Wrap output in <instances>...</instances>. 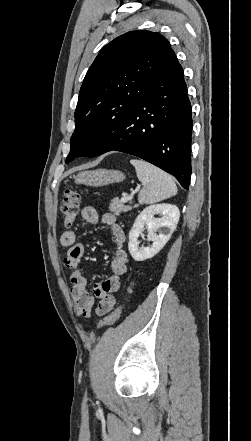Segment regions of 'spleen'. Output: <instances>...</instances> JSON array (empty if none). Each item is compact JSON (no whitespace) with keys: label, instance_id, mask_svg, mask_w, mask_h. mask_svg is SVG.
I'll return each mask as SVG.
<instances>
[{"label":"spleen","instance_id":"3e777b00","mask_svg":"<svg viewBox=\"0 0 251 441\" xmlns=\"http://www.w3.org/2000/svg\"><path fill=\"white\" fill-rule=\"evenodd\" d=\"M130 163L143 185L138 194L139 204H154L177 194L175 182L163 170L140 159H131Z\"/></svg>","mask_w":251,"mask_h":441}]
</instances>
